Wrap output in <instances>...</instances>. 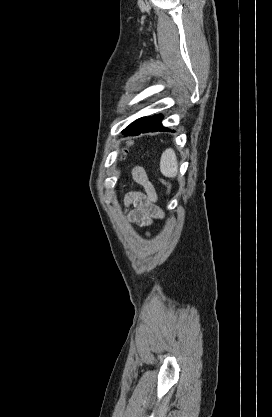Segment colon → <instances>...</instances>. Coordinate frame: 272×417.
Here are the masks:
<instances>
[{"instance_id":"colon-1","label":"colon","mask_w":272,"mask_h":417,"mask_svg":"<svg viewBox=\"0 0 272 417\" xmlns=\"http://www.w3.org/2000/svg\"><path fill=\"white\" fill-rule=\"evenodd\" d=\"M165 185L167 186L168 189L170 188V185L169 184L165 183Z\"/></svg>"}]
</instances>
